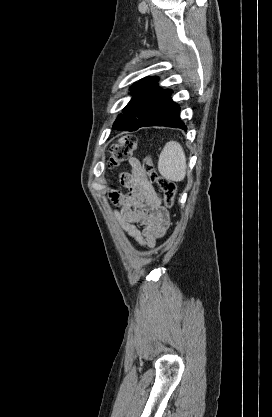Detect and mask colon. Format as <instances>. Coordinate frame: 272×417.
I'll return each mask as SVG.
<instances>
[{
	"label": "colon",
	"instance_id": "colon-1",
	"mask_svg": "<svg viewBox=\"0 0 272 417\" xmlns=\"http://www.w3.org/2000/svg\"><path fill=\"white\" fill-rule=\"evenodd\" d=\"M137 149V140L132 135H125L113 145L110 149L109 165L118 166L125 161ZM144 173L148 176L150 182L156 183L162 190L164 203L168 209L174 206V199L177 192V185L170 179L159 175L152 163L150 157H146L142 164Z\"/></svg>",
	"mask_w": 272,
	"mask_h": 417
}]
</instances>
